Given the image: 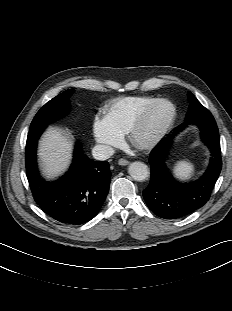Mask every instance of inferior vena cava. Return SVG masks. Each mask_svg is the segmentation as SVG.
Instances as JSON below:
<instances>
[{
	"label": "inferior vena cava",
	"mask_w": 232,
	"mask_h": 311,
	"mask_svg": "<svg viewBox=\"0 0 232 311\" xmlns=\"http://www.w3.org/2000/svg\"><path fill=\"white\" fill-rule=\"evenodd\" d=\"M114 154V149L108 145H96L92 149V155L96 160H107Z\"/></svg>",
	"instance_id": "1"
}]
</instances>
